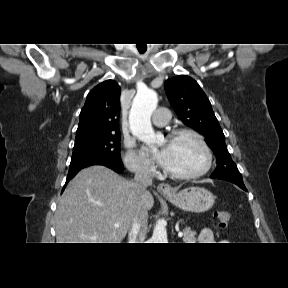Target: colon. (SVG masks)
Listing matches in <instances>:
<instances>
[{
    "label": "colon",
    "instance_id": "colon-1",
    "mask_svg": "<svg viewBox=\"0 0 288 288\" xmlns=\"http://www.w3.org/2000/svg\"><path fill=\"white\" fill-rule=\"evenodd\" d=\"M216 217L221 228L227 227L231 221V213L228 211H219L216 213Z\"/></svg>",
    "mask_w": 288,
    "mask_h": 288
}]
</instances>
